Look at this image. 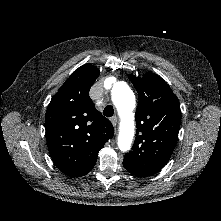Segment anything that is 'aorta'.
Segmentation results:
<instances>
[{"label":"aorta","instance_id":"obj_1","mask_svg":"<svg viewBox=\"0 0 221 221\" xmlns=\"http://www.w3.org/2000/svg\"><path fill=\"white\" fill-rule=\"evenodd\" d=\"M113 101L121 113L129 112L134 108L135 96L130 87L122 84L113 91ZM133 138V130L125 132L119 139V147L122 151L129 149Z\"/></svg>","mask_w":221,"mask_h":221}]
</instances>
